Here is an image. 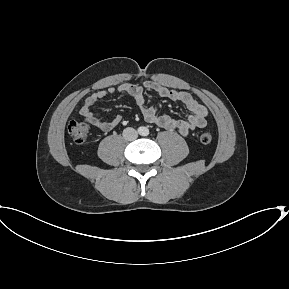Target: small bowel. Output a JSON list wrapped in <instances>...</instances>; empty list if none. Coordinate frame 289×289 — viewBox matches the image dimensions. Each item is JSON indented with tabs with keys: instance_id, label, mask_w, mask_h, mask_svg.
Here are the masks:
<instances>
[{
	"instance_id": "c3829d8e",
	"label": "small bowel",
	"mask_w": 289,
	"mask_h": 289,
	"mask_svg": "<svg viewBox=\"0 0 289 289\" xmlns=\"http://www.w3.org/2000/svg\"><path fill=\"white\" fill-rule=\"evenodd\" d=\"M145 90L156 93L160 98H167L182 105L188 111L185 119H175L166 113L159 114L155 106L147 105L144 96ZM116 92L129 94L135 100L145 121L167 130H176L181 135H188L191 131L203 128L207 124L208 109L192 95L185 91L167 88L156 82H146L143 86L123 83L117 88L98 90L86 98L80 114L100 130H112L123 121L122 115L117 114L112 120L105 121L95 115L91 108L97 101Z\"/></svg>"
}]
</instances>
